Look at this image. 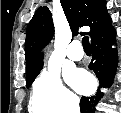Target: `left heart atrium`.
Listing matches in <instances>:
<instances>
[{
	"mask_svg": "<svg viewBox=\"0 0 121 113\" xmlns=\"http://www.w3.org/2000/svg\"><path fill=\"white\" fill-rule=\"evenodd\" d=\"M66 79L68 83L79 92H86L91 87L89 76L80 70L66 71Z\"/></svg>",
	"mask_w": 121,
	"mask_h": 113,
	"instance_id": "obj_1",
	"label": "left heart atrium"
}]
</instances>
